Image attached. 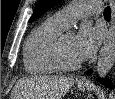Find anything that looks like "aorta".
Wrapping results in <instances>:
<instances>
[{
  "label": "aorta",
  "mask_w": 115,
  "mask_h": 99,
  "mask_svg": "<svg viewBox=\"0 0 115 99\" xmlns=\"http://www.w3.org/2000/svg\"><path fill=\"white\" fill-rule=\"evenodd\" d=\"M113 2V1H112ZM115 12V5L112 7ZM115 63V22L112 24L109 33L106 37L104 45L100 51L97 62V74L104 78L111 70Z\"/></svg>",
  "instance_id": "obj_1"
}]
</instances>
